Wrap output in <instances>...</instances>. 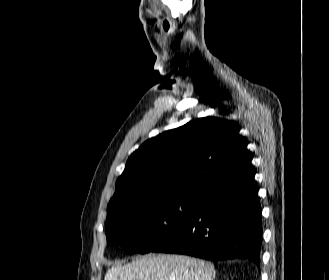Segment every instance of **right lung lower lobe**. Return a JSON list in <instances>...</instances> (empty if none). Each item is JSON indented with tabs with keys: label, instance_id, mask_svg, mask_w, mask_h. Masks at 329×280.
<instances>
[{
	"label": "right lung lower lobe",
	"instance_id": "right-lung-lower-lobe-1",
	"mask_svg": "<svg viewBox=\"0 0 329 280\" xmlns=\"http://www.w3.org/2000/svg\"><path fill=\"white\" fill-rule=\"evenodd\" d=\"M255 173L250 160L217 179L181 228L152 252L248 259L260 267L262 225Z\"/></svg>",
	"mask_w": 329,
	"mask_h": 280
}]
</instances>
